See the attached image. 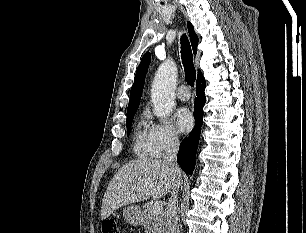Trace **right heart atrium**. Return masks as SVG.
I'll list each match as a JSON object with an SVG mask.
<instances>
[{"label":"right heart atrium","mask_w":306,"mask_h":233,"mask_svg":"<svg viewBox=\"0 0 306 233\" xmlns=\"http://www.w3.org/2000/svg\"><path fill=\"white\" fill-rule=\"evenodd\" d=\"M148 137L150 144V155L162 157L178 147L180 138L175 127L168 120L152 122L149 125Z\"/></svg>","instance_id":"1"}]
</instances>
